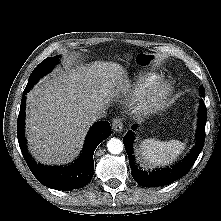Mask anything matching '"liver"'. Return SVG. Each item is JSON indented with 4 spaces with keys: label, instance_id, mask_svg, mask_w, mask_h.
I'll return each instance as SVG.
<instances>
[{
    "label": "liver",
    "instance_id": "liver-1",
    "mask_svg": "<svg viewBox=\"0 0 221 221\" xmlns=\"http://www.w3.org/2000/svg\"><path fill=\"white\" fill-rule=\"evenodd\" d=\"M122 66L96 61L46 76L28 93L26 134L30 150L44 164H65L83 147L95 109H106L128 89Z\"/></svg>",
    "mask_w": 221,
    "mask_h": 221
}]
</instances>
